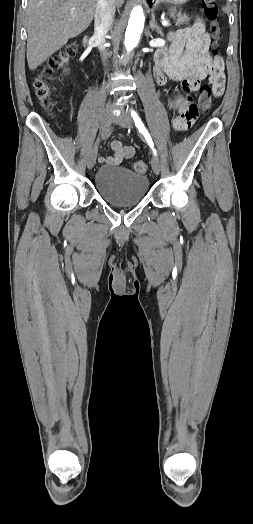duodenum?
I'll list each match as a JSON object with an SVG mask.
<instances>
[{"instance_id":"obj_1","label":"duodenum","mask_w":253,"mask_h":524,"mask_svg":"<svg viewBox=\"0 0 253 524\" xmlns=\"http://www.w3.org/2000/svg\"><path fill=\"white\" fill-rule=\"evenodd\" d=\"M84 43H85V47L88 49L89 48V37L88 36L84 37Z\"/></svg>"}]
</instances>
